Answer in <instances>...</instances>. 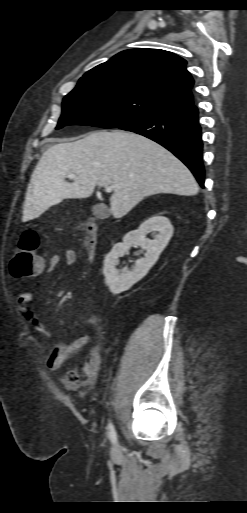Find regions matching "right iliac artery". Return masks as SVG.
Listing matches in <instances>:
<instances>
[{
  "label": "right iliac artery",
  "mask_w": 247,
  "mask_h": 513,
  "mask_svg": "<svg viewBox=\"0 0 247 513\" xmlns=\"http://www.w3.org/2000/svg\"><path fill=\"white\" fill-rule=\"evenodd\" d=\"M107 436L109 438V440L115 444L116 441H117V435H116V431H115V428L113 426L112 423H109L108 424V430H107Z\"/></svg>",
  "instance_id": "right-iliac-artery-1"
}]
</instances>
